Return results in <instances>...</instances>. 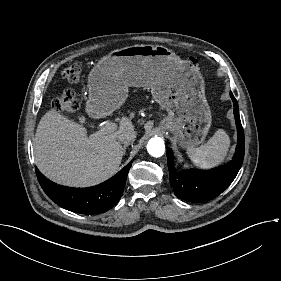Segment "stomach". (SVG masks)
<instances>
[{
  "label": "stomach",
  "instance_id": "obj_1",
  "mask_svg": "<svg viewBox=\"0 0 281 281\" xmlns=\"http://www.w3.org/2000/svg\"><path fill=\"white\" fill-rule=\"evenodd\" d=\"M128 87H150L153 99L168 112L161 121L182 147L201 144L211 127L205 82L197 66L159 45H133L102 57L88 76L86 111L101 118L119 108Z\"/></svg>",
  "mask_w": 281,
  "mask_h": 281
}]
</instances>
